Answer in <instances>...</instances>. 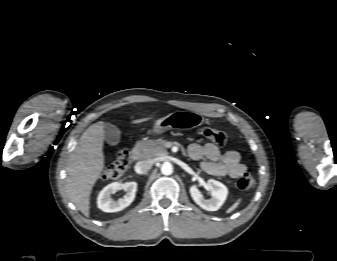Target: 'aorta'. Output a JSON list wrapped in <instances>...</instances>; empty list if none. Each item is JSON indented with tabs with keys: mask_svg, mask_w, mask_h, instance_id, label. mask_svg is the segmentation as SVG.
<instances>
[{
	"mask_svg": "<svg viewBox=\"0 0 337 261\" xmlns=\"http://www.w3.org/2000/svg\"><path fill=\"white\" fill-rule=\"evenodd\" d=\"M161 172L164 175H170L173 172V166L170 162L166 161L161 165Z\"/></svg>",
	"mask_w": 337,
	"mask_h": 261,
	"instance_id": "762f6f07",
	"label": "aorta"
}]
</instances>
